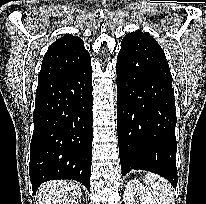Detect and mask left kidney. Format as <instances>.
<instances>
[{
    "instance_id": "obj_1",
    "label": "left kidney",
    "mask_w": 206,
    "mask_h": 204,
    "mask_svg": "<svg viewBox=\"0 0 206 204\" xmlns=\"http://www.w3.org/2000/svg\"><path fill=\"white\" fill-rule=\"evenodd\" d=\"M140 197V204H156L152 194L140 183L138 180L133 179L128 181L124 191V203L135 204L134 195ZM138 204V203H136Z\"/></svg>"
}]
</instances>
